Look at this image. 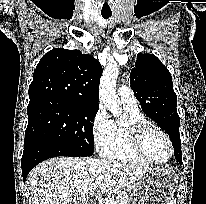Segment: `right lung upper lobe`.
I'll use <instances>...</instances> for the list:
<instances>
[{"instance_id": "cb5924a9", "label": "right lung upper lobe", "mask_w": 206, "mask_h": 204, "mask_svg": "<svg viewBox=\"0 0 206 204\" xmlns=\"http://www.w3.org/2000/svg\"><path fill=\"white\" fill-rule=\"evenodd\" d=\"M100 63L80 50L56 48L36 66L29 86L30 102L53 99L99 106Z\"/></svg>"}]
</instances>
